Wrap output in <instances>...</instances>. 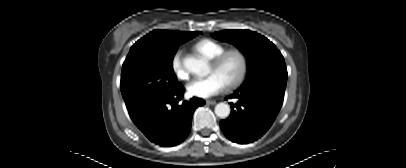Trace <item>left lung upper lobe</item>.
I'll return each mask as SVG.
<instances>
[{
	"instance_id": "5c2ea615",
	"label": "left lung upper lobe",
	"mask_w": 406,
	"mask_h": 168,
	"mask_svg": "<svg viewBox=\"0 0 406 168\" xmlns=\"http://www.w3.org/2000/svg\"><path fill=\"white\" fill-rule=\"evenodd\" d=\"M213 37L233 43L247 58V79L237 91L263 86L285 89L288 73L284 58L267 38L249 30H224Z\"/></svg>"
}]
</instances>
